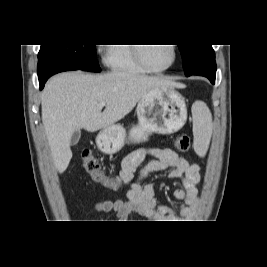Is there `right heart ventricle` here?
<instances>
[{
  "label": "right heart ventricle",
  "instance_id": "right-heart-ventricle-1",
  "mask_svg": "<svg viewBox=\"0 0 267 267\" xmlns=\"http://www.w3.org/2000/svg\"><path fill=\"white\" fill-rule=\"evenodd\" d=\"M107 63L113 71L130 73H147L142 65L138 63L134 55L133 46L129 44H111Z\"/></svg>",
  "mask_w": 267,
  "mask_h": 267
}]
</instances>
